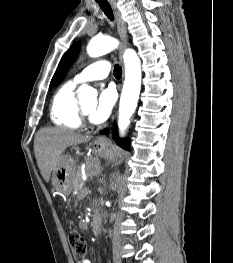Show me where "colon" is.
<instances>
[{
  "mask_svg": "<svg viewBox=\"0 0 233 263\" xmlns=\"http://www.w3.org/2000/svg\"><path fill=\"white\" fill-rule=\"evenodd\" d=\"M68 241L72 249V254L77 263L84 260L86 256L87 246L86 242L81 234L75 231H71L68 234Z\"/></svg>",
  "mask_w": 233,
  "mask_h": 263,
  "instance_id": "1",
  "label": "colon"
}]
</instances>
